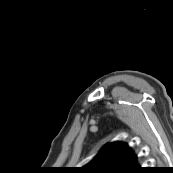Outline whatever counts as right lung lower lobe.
<instances>
[{"instance_id":"right-lung-lower-lobe-1","label":"right lung lower lobe","mask_w":173,"mask_h":173,"mask_svg":"<svg viewBox=\"0 0 173 173\" xmlns=\"http://www.w3.org/2000/svg\"><path fill=\"white\" fill-rule=\"evenodd\" d=\"M128 173H147V171L144 168L136 165L130 171H128Z\"/></svg>"}]
</instances>
